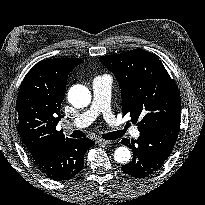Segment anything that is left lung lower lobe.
I'll return each mask as SVG.
<instances>
[{"label": "left lung lower lobe", "mask_w": 205, "mask_h": 205, "mask_svg": "<svg viewBox=\"0 0 205 205\" xmlns=\"http://www.w3.org/2000/svg\"><path fill=\"white\" fill-rule=\"evenodd\" d=\"M179 131L180 124H166L141 131L137 140L122 139L133 151L132 161L121 167L123 172L136 178L152 175L171 154Z\"/></svg>", "instance_id": "left-lung-lower-lobe-1"}]
</instances>
